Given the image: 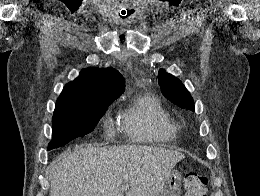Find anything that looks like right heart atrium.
I'll return each mask as SVG.
<instances>
[{"label":"right heart atrium","instance_id":"right-heart-atrium-1","mask_svg":"<svg viewBox=\"0 0 260 196\" xmlns=\"http://www.w3.org/2000/svg\"><path fill=\"white\" fill-rule=\"evenodd\" d=\"M128 192H151V190H127Z\"/></svg>","mask_w":260,"mask_h":196}]
</instances>
